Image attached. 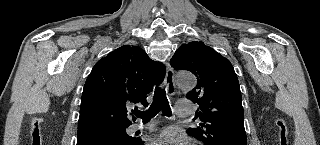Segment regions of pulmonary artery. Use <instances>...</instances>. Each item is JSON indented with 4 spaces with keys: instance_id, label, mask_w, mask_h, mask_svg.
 Masks as SVG:
<instances>
[{
    "instance_id": "1",
    "label": "pulmonary artery",
    "mask_w": 320,
    "mask_h": 145,
    "mask_svg": "<svg viewBox=\"0 0 320 145\" xmlns=\"http://www.w3.org/2000/svg\"><path fill=\"white\" fill-rule=\"evenodd\" d=\"M175 113L179 117H188V116H190L191 113H192V107H191L190 102H188V101H178V102H176V104H175ZM154 125H155L154 122L146 124V125L133 124V125L130 126L129 131L130 132H136V131H139V130L150 128V127H152Z\"/></svg>"
}]
</instances>
